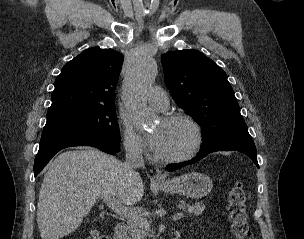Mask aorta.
I'll return each mask as SVG.
<instances>
[{
  "label": "aorta",
  "instance_id": "1",
  "mask_svg": "<svg viewBox=\"0 0 304 239\" xmlns=\"http://www.w3.org/2000/svg\"><path fill=\"white\" fill-rule=\"evenodd\" d=\"M156 74L157 66L153 58L139 56L126 76L123 100L126 108L138 123L148 124L152 119L146 104L145 92L154 82Z\"/></svg>",
  "mask_w": 304,
  "mask_h": 239
}]
</instances>
